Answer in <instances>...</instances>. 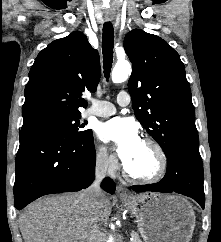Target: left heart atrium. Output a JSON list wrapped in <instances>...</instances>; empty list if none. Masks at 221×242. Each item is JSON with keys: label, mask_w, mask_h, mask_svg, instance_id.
<instances>
[{"label": "left heart atrium", "mask_w": 221, "mask_h": 242, "mask_svg": "<svg viewBox=\"0 0 221 242\" xmlns=\"http://www.w3.org/2000/svg\"><path fill=\"white\" fill-rule=\"evenodd\" d=\"M97 133L101 141L115 147L124 163L133 156L142 142L136 125L129 119L113 118L102 123Z\"/></svg>", "instance_id": "1"}]
</instances>
